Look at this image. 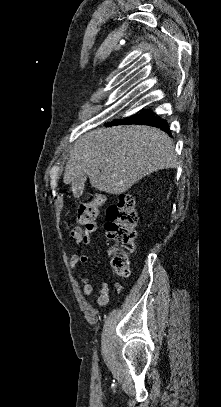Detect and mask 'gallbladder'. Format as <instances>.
<instances>
[{
	"label": "gallbladder",
	"mask_w": 221,
	"mask_h": 407,
	"mask_svg": "<svg viewBox=\"0 0 221 407\" xmlns=\"http://www.w3.org/2000/svg\"><path fill=\"white\" fill-rule=\"evenodd\" d=\"M87 176L85 174L77 176L73 182L72 187L75 194H79L84 188V183L86 182Z\"/></svg>",
	"instance_id": "1"
}]
</instances>
